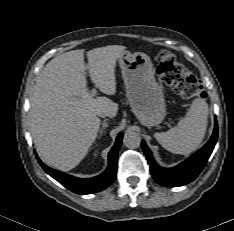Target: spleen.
Masks as SVG:
<instances>
[{
	"mask_svg": "<svg viewBox=\"0 0 234 231\" xmlns=\"http://www.w3.org/2000/svg\"><path fill=\"white\" fill-rule=\"evenodd\" d=\"M208 104L202 98L193 100L186 116L166 132L154 137L166 150L187 155L196 150L204 139L207 128Z\"/></svg>",
	"mask_w": 234,
	"mask_h": 231,
	"instance_id": "spleen-1",
	"label": "spleen"
}]
</instances>
